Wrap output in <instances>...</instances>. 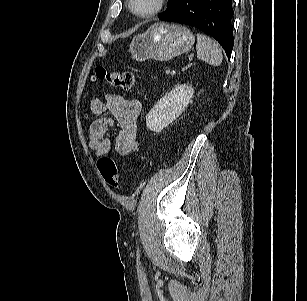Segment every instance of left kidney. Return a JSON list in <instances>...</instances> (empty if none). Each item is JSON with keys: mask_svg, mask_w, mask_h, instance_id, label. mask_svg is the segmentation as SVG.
<instances>
[{"mask_svg": "<svg viewBox=\"0 0 307 301\" xmlns=\"http://www.w3.org/2000/svg\"><path fill=\"white\" fill-rule=\"evenodd\" d=\"M193 87L176 85L162 97L146 116L147 128L156 133L161 132L185 110L193 97Z\"/></svg>", "mask_w": 307, "mask_h": 301, "instance_id": "1", "label": "left kidney"}]
</instances>
